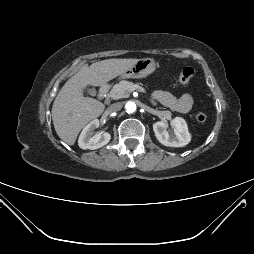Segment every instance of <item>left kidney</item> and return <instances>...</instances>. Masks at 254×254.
<instances>
[{
	"label": "left kidney",
	"mask_w": 254,
	"mask_h": 254,
	"mask_svg": "<svg viewBox=\"0 0 254 254\" xmlns=\"http://www.w3.org/2000/svg\"><path fill=\"white\" fill-rule=\"evenodd\" d=\"M173 132H168L167 123L159 121L153 124V130L158 141L168 147H183L191 141L186 121L181 117H175L171 121Z\"/></svg>",
	"instance_id": "obj_1"
}]
</instances>
